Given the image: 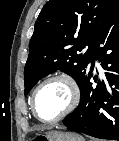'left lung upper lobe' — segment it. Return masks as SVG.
Instances as JSON below:
<instances>
[{
    "label": "left lung upper lobe",
    "mask_w": 119,
    "mask_h": 141,
    "mask_svg": "<svg viewBox=\"0 0 119 141\" xmlns=\"http://www.w3.org/2000/svg\"><path fill=\"white\" fill-rule=\"evenodd\" d=\"M119 9V0H50L41 10L24 69L25 94L44 76L61 70L80 87L98 33ZM88 47L84 54L78 51Z\"/></svg>",
    "instance_id": "left-lung-upper-lobe-1"
}]
</instances>
